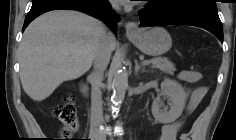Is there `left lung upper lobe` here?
<instances>
[{
    "label": "left lung upper lobe",
    "instance_id": "5c2ea615",
    "mask_svg": "<svg viewBox=\"0 0 236 140\" xmlns=\"http://www.w3.org/2000/svg\"><path fill=\"white\" fill-rule=\"evenodd\" d=\"M156 2L162 4L167 8H172L179 5H191V6L217 10L215 0H152L151 3L148 4V6Z\"/></svg>",
    "mask_w": 236,
    "mask_h": 140
}]
</instances>
